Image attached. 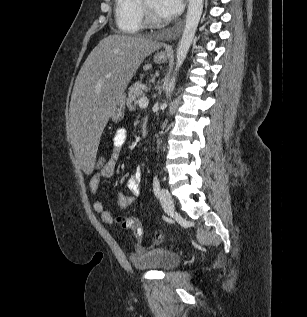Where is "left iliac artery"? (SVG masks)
Listing matches in <instances>:
<instances>
[{"label":"left iliac artery","mask_w":307,"mask_h":317,"mask_svg":"<svg viewBox=\"0 0 307 317\" xmlns=\"http://www.w3.org/2000/svg\"><path fill=\"white\" fill-rule=\"evenodd\" d=\"M153 191L155 196L158 197L160 191V181L157 175H155L153 179Z\"/></svg>","instance_id":"44dca946"}]
</instances>
